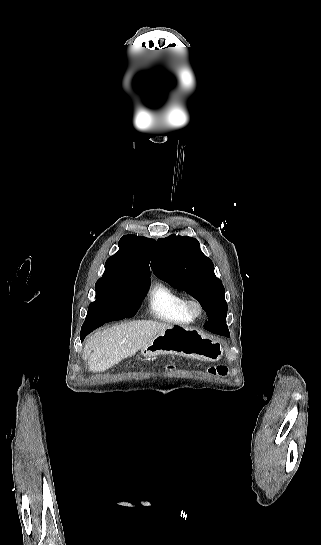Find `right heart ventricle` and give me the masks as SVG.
Listing matches in <instances>:
<instances>
[{
    "instance_id": "obj_1",
    "label": "right heart ventricle",
    "mask_w": 321,
    "mask_h": 545,
    "mask_svg": "<svg viewBox=\"0 0 321 545\" xmlns=\"http://www.w3.org/2000/svg\"><path fill=\"white\" fill-rule=\"evenodd\" d=\"M188 301L185 295L158 282L149 292L148 311L156 320L172 326L186 327L194 321L188 310Z\"/></svg>"
}]
</instances>
